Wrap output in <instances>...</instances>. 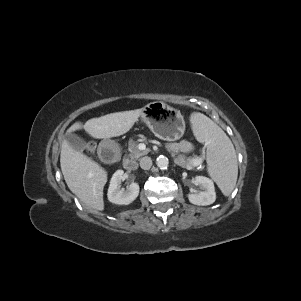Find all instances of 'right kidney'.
<instances>
[{
    "label": "right kidney",
    "instance_id": "right-kidney-1",
    "mask_svg": "<svg viewBox=\"0 0 301 301\" xmlns=\"http://www.w3.org/2000/svg\"><path fill=\"white\" fill-rule=\"evenodd\" d=\"M123 180H125L123 170H117L110 180L107 196L108 200L113 204L128 205L139 195V185L137 183H131L126 190L121 189L120 184Z\"/></svg>",
    "mask_w": 301,
    "mask_h": 301
}]
</instances>
